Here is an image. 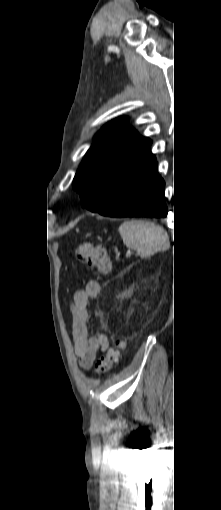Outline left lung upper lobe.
Returning a JSON list of instances; mask_svg holds the SVG:
<instances>
[{
  "label": "left lung upper lobe",
  "mask_w": 221,
  "mask_h": 510,
  "mask_svg": "<svg viewBox=\"0 0 221 510\" xmlns=\"http://www.w3.org/2000/svg\"><path fill=\"white\" fill-rule=\"evenodd\" d=\"M118 118L105 125L85 155L73 180L87 209L106 207L155 158L151 141Z\"/></svg>",
  "instance_id": "5c2ea615"
}]
</instances>
